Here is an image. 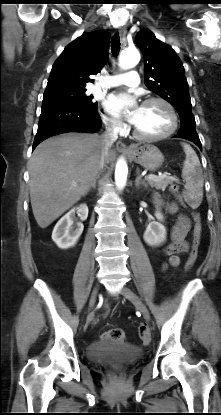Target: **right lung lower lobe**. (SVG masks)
<instances>
[{
	"instance_id": "obj_1",
	"label": "right lung lower lobe",
	"mask_w": 221,
	"mask_h": 415,
	"mask_svg": "<svg viewBox=\"0 0 221 415\" xmlns=\"http://www.w3.org/2000/svg\"><path fill=\"white\" fill-rule=\"evenodd\" d=\"M101 118L98 109H90L68 102H43L33 150L45 139L67 132H96Z\"/></svg>"
}]
</instances>
